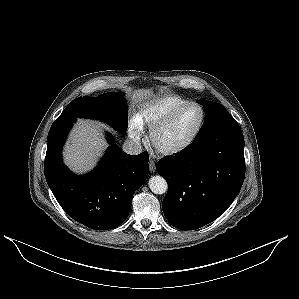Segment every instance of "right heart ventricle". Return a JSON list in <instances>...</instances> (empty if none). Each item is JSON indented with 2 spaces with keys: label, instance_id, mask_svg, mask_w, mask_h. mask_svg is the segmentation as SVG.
<instances>
[{
  "label": "right heart ventricle",
  "instance_id": "e07e8e85",
  "mask_svg": "<svg viewBox=\"0 0 299 299\" xmlns=\"http://www.w3.org/2000/svg\"><path fill=\"white\" fill-rule=\"evenodd\" d=\"M189 100L177 94H165L145 103L136 115V121L142 126L151 128L163 120L176 108L188 103Z\"/></svg>",
  "mask_w": 299,
  "mask_h": 299
}]
</instances>
